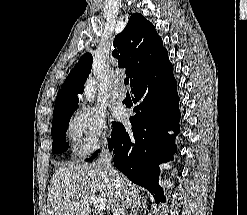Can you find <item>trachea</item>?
Segmentation results:
<instances>
[{
    "mask_svg": "<svg viewBox=\"0 0 247 215\" xmlns=\"http://www.w3.org/2000/svg\"><path fill=\"white\" fill-rule=\"evenodd\" d=\"M124 83H125V85H128V84H129V78H128V77H126V78L124 79Z\"/></svg>",
    "mask_w": 247,
    "mask_h": 215,
    "instance_id": "3493384b",
    "label": "trachea"
}]
</instances>
